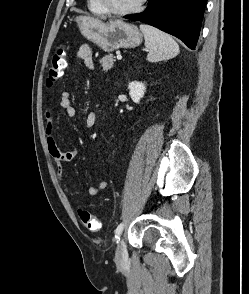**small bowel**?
Returning <instances> with one entry per match:
<instances>
[{"label": "small bowel", "instance_id": "1", "mask_svg": "<svg viewBox=\"0 0 249 294\" xmlns=\"http://www.w3.org/2000/svg\"><path fill=\"white\" fill-rule=\"evenodd\" d=\"M77 57L81 59L88 68L93 67V49L88 44H83L78 48ZM60 106L66 111L69 117H76L78 111L73 105L70 94L67 91H63L60 97ZM96 115L94 112H89L84 119V127L90 129L95 125ZM46 143L49 155L53 159L57 168V177L61 190L68 196L75 198L81 194V191L77 188L71 187L65 180L63 175V165L65 162L72 161L76 158L78 150L72 148L69 150H63L59 145L54 135V123L52 113L50 111L46 114ZM108 187V182L102 180L95 185L89 186L87 192L89 195L94 196L104 191Z\"/></svg>", "mask_w": 249, "mask_h": 294}]
</instances>
